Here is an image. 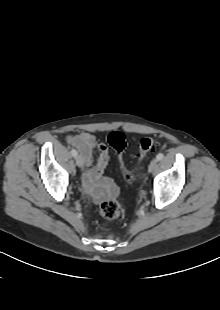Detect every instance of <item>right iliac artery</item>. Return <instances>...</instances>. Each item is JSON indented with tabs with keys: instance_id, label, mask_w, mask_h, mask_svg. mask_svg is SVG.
Returning <instances> with one entry per match:
<instances>
[{
	"instance_id": "82829eb1",
	"label": "right iliac artery",
	"mask_w": 220,
	"mask_h": 310,
	"mask_svg": "<svg viewBox=\"0 0 220 310\" xmlns=\"http://www.w3.org/2000/svg\"><path fill=\"white\" fill-rule=\"evenodd\" d=\"M71 154H72V156L76 157L77 156V151L75 149H72L71 150Z\"/></svg>"
}]
</instances>
